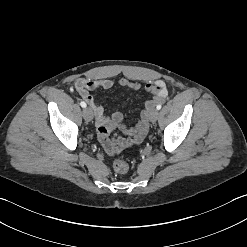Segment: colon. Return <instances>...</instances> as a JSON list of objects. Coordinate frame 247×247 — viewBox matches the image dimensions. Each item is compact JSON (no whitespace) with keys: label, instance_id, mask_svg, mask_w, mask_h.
<instances>
[{"label":"colon","instance_id":"colon-1","mask_svg":"<svg viewBox=\"0 0 247 247\" xmlns=\"http://www.w3.org/2000/svg\"><path fill=\"white\" fill-rule=\"evenodd\" d=\"M104 132H101V136H103ZM113 169L115 172L119 174H124L129 170V165L126 161L117 159L113 162Z\"/></svg>","mask_w":247,"mask_h":247}]
</instances>
